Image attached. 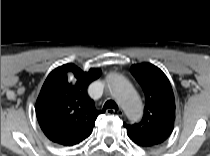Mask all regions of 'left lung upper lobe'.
Masks as SVG:
<instances>
[{
    "label": "left lung upper lobe",
    "mask_w": 210,
    "mask_h": 156,
    "mask_svg": "<svg viewBox=\"0 0 210 156\" xmlns=\"http://www.w3.org/2000/svg\"><path fill=\"white\" fill-rule=\"evenodd\" d=\"M131 73L143 88L146 105L141 122L124 126L129 138L137 145H158L170 136L174 127L175 101L170 82L150 63L131 66Z\"/></svg>",
    "instance_id": "5c2ea615"
}]
</instances>
